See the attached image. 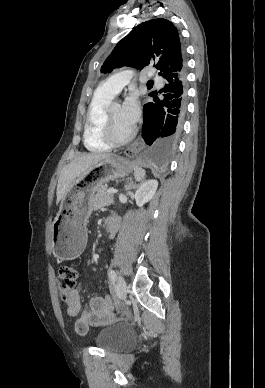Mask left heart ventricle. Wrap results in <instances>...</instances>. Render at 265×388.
Here are the masks:
<instances>
[{"instance_id":"1","label":"left heart ventricle","mask_w":265,"mask_h":388,"mask_svg":"<svg viewBox=\"0 0 265 388\" xmlns=\"http://www.w3.org/2000/svg\"><path fill=\"white\" fill-rule=\"evenodd\" d=\"M110 125L116 134L122 135L127 133L132 126L123 118L122 107L114 104L110 113Z\"/></svg>"}]
</instances>
